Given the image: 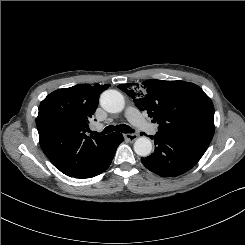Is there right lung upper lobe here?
Wrapping results in <instances>:
<instances>
[{
	"instance_id": "1",
	"label": "right lung upper lobe",
	"mask_w": 245,
	"mask_h": 245,
	"mask_svg": "<svg viewBox=\"0 0 245 245\" xmlns=\"http://www.w3.org/2000/svg\"><path fill=\"white\" fill-rule=\"evenodd\" d=\"M110 85L79 84L50 93L39 106L36 126L40 146L52 164L67 176L87 171L103 150L108 136L88 137V123L100 94Z\"/></svg>"
}]
</instances>
